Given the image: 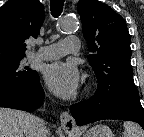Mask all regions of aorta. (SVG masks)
I'll return each mask as SVG.
<instances>
[{
  "mask_svg": "<svg viewBox=\"0 0 144 137\" xmlns=\"http://www.w3.org/2000/svg\"><path fill=\"white\" fill-rule=\"evenodd\" d=\"M58 27L62 31L70 32V31H74V30L77 29L78 23L73 18H64V19H62V20L59 21Z\"/></svg>",
  "mask_w": 144,
  "mask_h": 137,
  "instance_id": "obj_1",
  "label": "aorta"
}]
</instances>
